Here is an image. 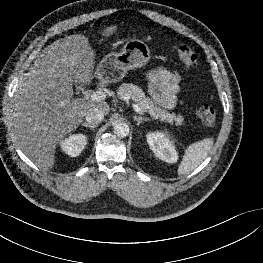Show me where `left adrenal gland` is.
Segmentation results:
<instances>
[{
    "mask_svg": "<svg viewBox=\"0 0 263 263\" xmlns=\"http://www.w3.org/2000/svg\"><path fill=\"white\" fill-rule=\"evenodd\" d=\"M133 118H134V121L137 122V125H138V126H139L143 121H149V118H147V117H141V116L137 117V116L135 115V116H133Z\"/></svg>",
    "mask_w": 263,
    "mask_h": 263,
    "instance_id": "a2214340",
    "label": "left adrenal gland"
}]
</instances>
